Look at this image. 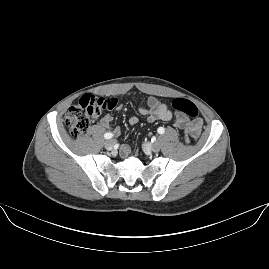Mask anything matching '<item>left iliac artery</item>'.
<instances>
[{
    "label": "left iliac artery",
    "instance_id": "left-iliac-artery-1",
    "mask_svg": "<svg viewBox=\"0 0 269 269\" xmlns=\"http://www.w3.org/2000/svg\"><path fill=\"white\" fill-rule=\"evenodd\" d=\"M157 131L159 134H163L165 132V129L163 127H159Z\"/></svg>",
    "mask_w": 269,
    "mask_h": 269
}]
</instances>
